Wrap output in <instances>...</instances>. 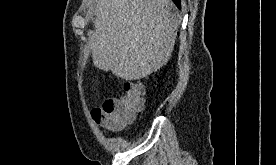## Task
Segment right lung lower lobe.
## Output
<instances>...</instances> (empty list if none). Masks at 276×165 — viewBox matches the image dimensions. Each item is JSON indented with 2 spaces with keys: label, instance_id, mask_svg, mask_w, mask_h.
Wrapping results in <instances>:
<instances>
[{
  "label": "right lung lower lobe",
  "instance_id": "98d812e1",
  "mask_svg": "<svg viewBox=\"0 0 276 165\" xmlns=\"http://www.w3.org/2000/svg\"><path fill=\"white\" fill-rule=\"evenodd\" d=\"M173 1L180 8V0H173Z\"/></svg>",
  "mask_w": 276,
  "mask_h": 165
}]
</instances>
